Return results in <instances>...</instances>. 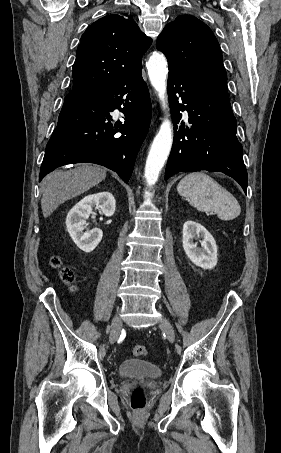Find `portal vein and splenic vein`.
Masks as SVG:
<instances>
[{
    "mask_svg": "<svg viewBox=\"0 0 281 453\" xmlns=\"http://www.w3.org/2000/svg\"><path fill=\"white\" fill-rule=\"evenodd\" d=\"M202 212L205 213L207 217H210V215H212V212H209L208 210H203Z\"/></svg>",
    "mask_w": 281,
    "mask_h": 453,
    "instance_id": "18ae733b",
    "label": "portal vein and splenic vein"
}]
</instances>
